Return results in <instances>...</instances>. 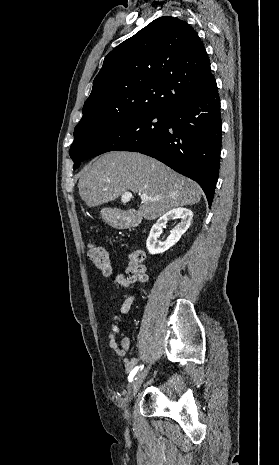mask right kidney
<instances>
[{
    "label": "right kidney",
    "mask_w": 279,
    "mask_h": 465,
    "mask_svg": "<svg viewBox=\"0 0 279 465\" xmlns=\"http://www.w3.org/2000/svg\"><path fill=\"white\" fill-rule=\"evenodd\" d=\"M193 217V212L190 209L178 207L170 210L152 226L150 234L146 241L147 250L150 254H160L167 251L174 246L181 238V236L189 228ZM181 218V222L174 227L166 241H158V237L162 232V227L172 219Z\"/></svg>",
    "instance_id": "ca27d5eb"
}]
</instances>
